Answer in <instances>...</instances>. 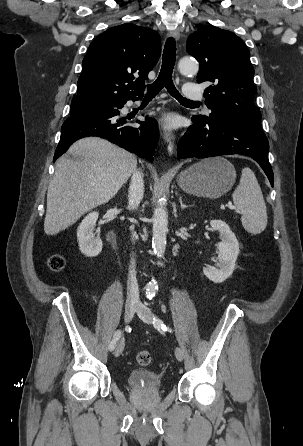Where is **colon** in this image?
<instances>
[{"label": "colon", "instance_id": "1", "mask_svg": "<svg viewBox=\"0 0 303 446\" xmlns=\"http://www.w3.org/2000/svg\"><path fill=\"white\" fill-rule=\"evenodd\" d=\"M65 258L62 255H52L48 261L49 268L53 271H60L65 267ZM152 356L149 351H141L137 355V362L142 366H147L151 363Z\"/></svg>", "mask_w": 303, "mask_h": 446}]
</instances>
